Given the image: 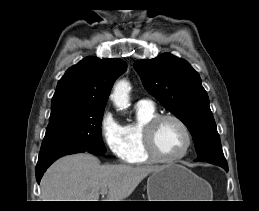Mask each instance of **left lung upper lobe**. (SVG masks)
<instances>
[{
    "label": "left lung upper lobe",
    "instance_id": "1",
    "mask_svg": "<svg viewBox=\"0 0 259 211\" xmlns=\"http://www.w3.org/2000/svg\"><path fill=\"white\" fill-rule=\"evenodd\" d=\"M146 90L180 119L193 136L198 161L227 166L208 95L184 59L164 53L134 64Z\"/></svg>",
    "mask_w": 259,
    "mask_h": 211
}]
</instances>
